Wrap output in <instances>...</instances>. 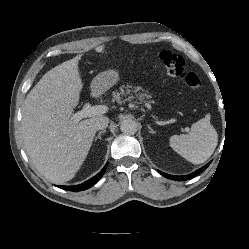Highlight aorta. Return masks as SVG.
<instances>
[{
    "label": "aorta",
    "mask_w": 249,
    "mask_h": 249,
    "mask_svg": "<svg viewBox=\"0 0 249 249\" xmlns=\"http://www.w3.org/2000/svg\"><path fill=\"white\" fill-rule=\"evenodd\" d=\"M120 129L124 134L134 135L137 132V123L132 119H125L122 121Z\"/></svg>",
    "instance_id": "1"
}]
</instances>
